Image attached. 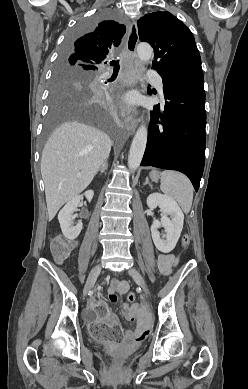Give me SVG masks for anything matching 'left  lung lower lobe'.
Segmentation results:
<instances>
[{
  "mask_svg": "<svg viewBox=\"0 0 248 389\" xmlns=\"http://www.w3.org/2000/svg\"><path fill=\"white\" fill-rule=\"evenodd\" d=\"M165 107L154 106L141 166L186 174L195 190L204 170L206 111L203 72L163 80ZM150 93V92H149Z\"/></svg>",
  "mask_w": 248,
  "mask_h": 389,
  "instance_id": "1",
  "label": "left lung lower lobe"
}]
</instances>
